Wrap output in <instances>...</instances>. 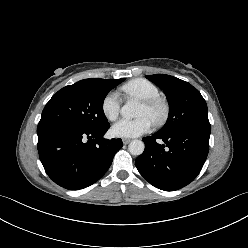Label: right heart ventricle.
<instances>
[{
	"label": "right heart ventricle",
	"mask_w": 248,
	"mask_h": 248,
	"mask_svg": "<svg viewBox=\"0 0 248 248\" xmlns=\"http://www.w3.org/2000/svg\"><path fill=\"white\" fill-rule=\"evenodd\" d=\"M121 91L127 97H134L140 100L160 97L158 87L151 81L144 78H136L125 83Z\"/></svg>",
	"instance_id": "e07e8e85"
}]
</instances>
